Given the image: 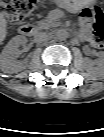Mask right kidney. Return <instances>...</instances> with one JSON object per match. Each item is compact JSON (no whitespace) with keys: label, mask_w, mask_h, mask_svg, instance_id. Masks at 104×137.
I'll return each instance as SVG.
<instances>
[{"label":"right kidney","mask_w":104,"mask_h":137,"mask_svg":"<svg viewBox=\"0 0 104 137\" xmlns=\"http://www.w3.org/2000/svg\"><path fill=\"white\" fill-rule=\"evenodd\" d=\"M27 43L24 36H15L5 46L0 54V69L4 73H17L25 68V61H16L15 57L19 54V47Z\"/></svg>","instance_id":"ca27d5eb"}]
</instances>
